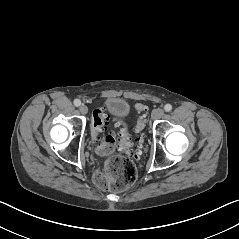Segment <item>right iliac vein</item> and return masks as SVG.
Returning a JSON list of instances; mask_svg holds the SVG:
<instances>
[{"mask_svg":"<svg viewBox=\"0 0 239 239\" xmlns=\"http://www.w3.org/2000/svg\"><path fill=\"white\" fill-rule=\"evenodd\" d=\"M79 111H80L81 114L85 115L88 112V107L86 105H81L79 107Z\"/></svg>","mask_w":239,"mask_h":239,"instance_id":"right-iliac-vein-1","label":"right iliac vein"}]
</instances>
